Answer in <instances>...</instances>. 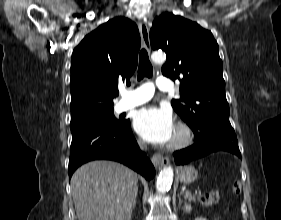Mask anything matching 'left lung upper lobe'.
<instances>
[{
  "label": "left lung upper lobe",
  "instance_id": "5c2ea615",
  "mask_svg": "<svg viewBox=\"0 0 281 220\" xmlns=\"http://www.w3.org/2000/svg\"><path fill=\"white\" fill-rule=\"evenodd\" d=\"M150 41L154 50L162 49L167 55L163 75L181 82L180 99L171 104L189 127L230 124L223 65L212 33L181 16L164 13L155 18Z\"/></svg>",
  "mask_w": 281,
  "mask_h": 220
}]
</instances>
